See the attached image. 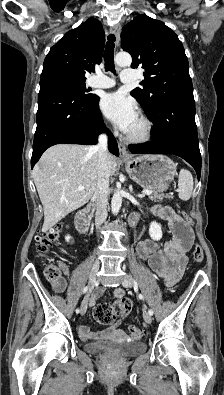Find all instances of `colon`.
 <instances>
[{"label": "colon", "mask_w": 224, "mask_h": 395, "mask_svg": "<svg viewBox=\"0 0 224 395\" xmlns=\"http://www.w3.org/2000/svg\"><path fill=\"white\" fill-rule=\"evenodd\" d=\"M184 225L181 230L187 232L191 220L187 213L181 214ZM62 232V227H55L37 237V251L40 257H44L49 250V247L55 242ZM203 250L200 245H195L191 257L195 263H200L203 260ZM46 278L50 281H58L61 278V269L55 264H50L45 270ZM131 309V302L128 298L123 297L114 303H99L94 309V319L104 325L111 324L116 317H126ZM129 332L132 338L138 339L144 335V331L137 325L132 324L129 327Z\"/></svg>", "instance_id": "colon-1"}]
</instances>
